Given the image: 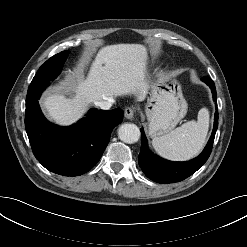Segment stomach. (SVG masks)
<instances>
[{
    "label": "stomach",
    "instance_id": "1",
    "mask_svg": "<svg viewBox=\"0 0 247 247\" xmlns=\"http://www.w3.org/2000/svg\"><path fill=\"white\" fill-rule=\"evenodd\" d=\"M150 98L146 105L149 134L152 137L169 133L186 115L188 104L180 82L170 75H159L150 81Z\"/></svg>",
    "mask_w": 247,
    "mask_h": 247
}]
</instances>
